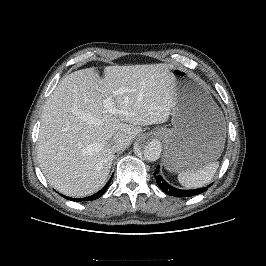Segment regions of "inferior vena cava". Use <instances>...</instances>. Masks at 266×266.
Here are the masks:
<instances>
[{"label": "inferior vena cava", "instance_id": "inferior-vena-cava-1", "mask_svg": "<svg viewBox=\"0 0 266 266\" xmlns=\"http://www.w3.org/2000/svg\"><path fill=\"white\" fill-rule=\"evenodd\" d=\"M126 145V139L123 136L116 135L114 136L108 146L113 152H118L122 150Z\"/></svg>", "mask_w": 266, "mask_h": 266}]
</instances>
